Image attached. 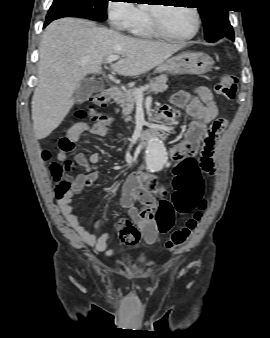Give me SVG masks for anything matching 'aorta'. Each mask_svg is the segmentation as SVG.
Returning <instances> with one entry per match:
<instances>
[{
    "mask_svg": "<svg viewBox=\"0 0 270 338\" xmlns=\"http://www.w3.org/2000/svg\"><path fill=\"white\" fill-rule=\"evenodd\" d=\"M166 153L163 143L158 139H152L146 150V167L149 172L162 170L166 164Z\"/></svg>",
    "mask_w": 270,
    "mask_h": 338,
    "instance_id": "1",
    "label": "aorta"
}]
</instances>
